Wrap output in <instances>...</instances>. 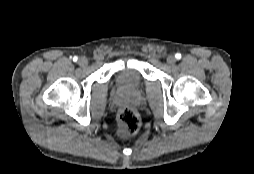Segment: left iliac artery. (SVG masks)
I'll return each instance as SVG.
<instances>
[{
  "label": "left iliac artery",
  "instance_id": "left-iliac-artery-1",
  "mask_svg": "<svg viewBox=\"0 0 254 174\" xmlns=\"http://www.w3.org/2000/svg\"><path fill=\"white\" fill-rule=\"evenodd\" d=\"M175 57H176V59H181V54L180 53H176Z\"/></svg>",
  "mask_w": 254,
  "mask_h": 174
}]
</instances>
